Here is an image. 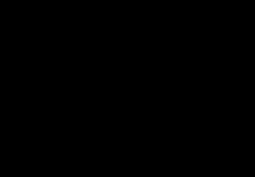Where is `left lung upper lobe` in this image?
I'll use <instances>...</instances> for the list:
<instances>
[{"label":"left lung upper lobe","instance_id":"left-lung-upper-lobe-1","mask_svg":"<svg viewBox=\"0 0 255 177\" xmlns=\"http://www.w3.org/2000/svg\"><path fill=\"white\" fill-rule=\"evenodd\" d=\"M155 53L161 61H165L170 54V49L166 43L162 41L155 42ZM161 95L163 98V113L167 119H171L175 114V95L170 87L169 81H164L161 85Z\"/></svg>","mask_w":255,"mask_h":177}]
</instances>
